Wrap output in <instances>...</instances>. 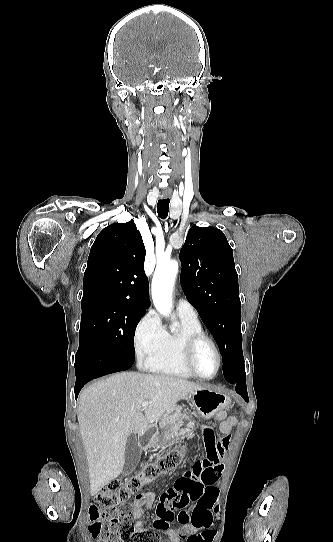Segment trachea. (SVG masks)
I'll return each mask as SVG.
<instances>
[{"instance_id": "1", "label": "trachea", "mask_w": 333, "mask_h": 542, "mask_svg": "<svg viewBox=\"0 0 333 542\" xmlns=\"http://www.w3.org/2000/svg\"><path fill=\"white\" fill-rule=\"evenodd\" d=\"M169 202H170L169 198H164V199L158 200L157 212H158V216L161 219H165L167 217V215H168Z\"/></svg>"}]
</instances>
